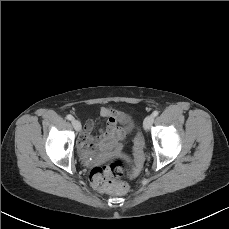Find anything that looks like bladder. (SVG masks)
<instances>
[{
  "label": "bladder",
  "mask_w": 229,
  "mask_h": 229,
  "mask_svg": "<svg viewBox=\"0 0 229 229\" xmlns=\"http://www.w3.org/2000/svg\"><path fill=\"white\" fill-rule=\"evenodd\" d=\"M135 125H132L129 129H128V133H127V135H131V134H133V132L135 131Z\"/></svg>",
  "instance_id": "31cf9c89"
}]
</instances>
